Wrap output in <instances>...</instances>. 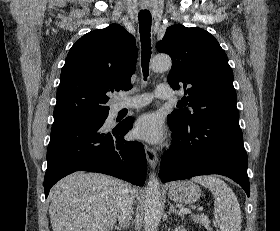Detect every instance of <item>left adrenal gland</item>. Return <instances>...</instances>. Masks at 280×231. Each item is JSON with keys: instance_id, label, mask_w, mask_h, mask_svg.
Listing matches in <instances>:
<instances>
[{"instance_id": "obj_1", "label": "left adrenal gland", "mask_w": 280, "mask_h": 231, "mask_svg": "<svg viewBox=\"0 0 280 231\" xmlns=\"http://www.w3.org/2000/svg\"><path fill=\"white\" fill-rule=\"evenodd\" d=\"M168 213H177V215H181V217L183 219L182 211H178V209H176V207H174L173 203H170V209H169Z\"/></svg>"}]
</instances>
